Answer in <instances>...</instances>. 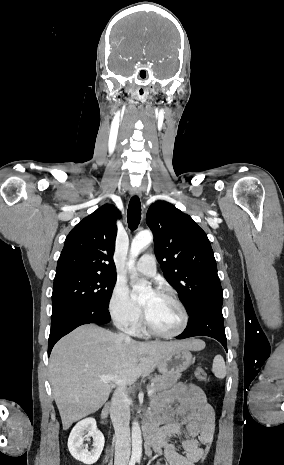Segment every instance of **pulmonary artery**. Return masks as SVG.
I'll use <instances>...</instances> for the list:
<instances>
[{
	"instance_id": "pulmonary-artery-1",
	"label": "pulmonary artery",
	"mask_w": 284,
	"mask_h": 465,
	"mask_svg": "<svg viewBox=\"0 0 284 465\" xmlns=\"http://www.w3.org/2000/svg\"><path fill=\"white\" fill-rule=\"evenodd\" d=\"M155 262V254H142L140 260L137 262L134 269L136 273L139 275L151 276L156 272Z\"/></svg>"
}]
</instances>
